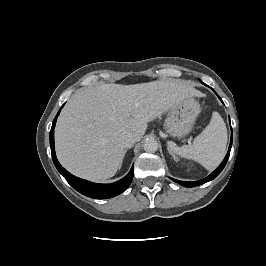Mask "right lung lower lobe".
I'll return each mask as SVG.
<instances>
[{"instance_id":"98d812e1","label":"right lung lower lobe","mask_w":266,"mask_h":266,"mask_svg":"<svg viewBox=\"0 0 266 266\" xmlns=\"http://www.w3.org/2000/svg\"><path fill=\"white\" fill-rule=\"evenodd\" d=\"M64 104L62 105V107ZM58 111L51 127L50 131V146H51V154L52 159L54 162L55 167L57 170L64 176V178L67 180V182L78 192L81 194L95 198V199H104V198H111L114 196L119 195L120 193L124 192L129 185L132 182L133 179V166L130 170V172L121 180L111 183V184H97L92 183L87 180L78 178L76 176H73L71 173L66 171L58 162L55 154V146H54V128L57 121V117L62 109Z\"/></svg>"}]
</instances>
